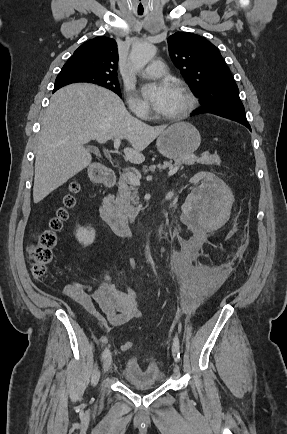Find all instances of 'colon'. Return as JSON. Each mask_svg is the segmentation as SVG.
<instances>
[{"label": "colon", "mask_w": 287, "mask_h": 434, "mask_svg": "<svg viewBox=\"0 0 287 434\" xmlns=\"http://www.w3.org/2000/svg\"><path fill=\"white\" fill-rule=\"evenodd\" d=\"M80 191V184L76 181L69 185V193L63 198L62 205L56 209L49 218L47 227L36 233L29 246V255L32 263V273L37 278L45 277L47 266L52 260V249L56 244V233L61 230L69 217V210L76 205L75 195ZM132 348L131 342H125L121 349L128 351Z\"/></svg>", "instance_id": "5ec220e1"}]
</instances>
